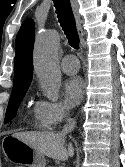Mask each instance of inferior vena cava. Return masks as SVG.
I'll return each instance as SVG.
<instances>
[{
  "instance_id": "1",
  "label": "inferior vena cava",
  "mask_w": 125,
  "mask_h": 167,
  "mask_svg": "<svg viewBox=\"0 0 125 167\" xmlns=\"http://www.w3.org/2000/svg\"><path fill=\"white\" fill-rule=\"evenodd\" d=\"M66 116H67V122L64 125L62 132H61L63 135L71 132L76 126V121L74 119L68 117L67 114H66Z\"/></svg>"
}]
</instances>
